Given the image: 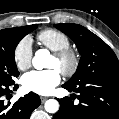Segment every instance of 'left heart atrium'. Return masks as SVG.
<instances>
[{
    "instance_id": "left-heart-atrium-1",
    "label": "left heart atrium",
    "mask_w": 119,
    "mask_h": 119,
    "mask_svg": "<svg viewBox=\"0 0 119 119\" xmlns=\"http://www.w3.org/2000/svg\"><path fill=\"white\" fill-rule=\"evenodd\" d=\"M61 74L57 68L31 71L23 76L22 84L27 91L49 94L60 83Z\"/></svg>"
}]
</instances>
